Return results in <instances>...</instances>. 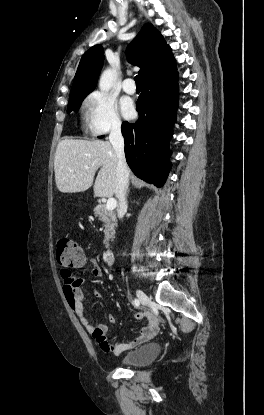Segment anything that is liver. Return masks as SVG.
Masks as SVG:
<instances>
[{"label": "liver", "instance_id": "obj_1", "mask_svg": "<svg viewBox=\"0 0 264 415\" xmlns=\"http://www.w3.org/2000/svg\"><path fill=\"white\" fill-rule=\"evenodd\" d=\"M100 167L94 183V194L97 197H112L117 170V158L112 145L108 141L82 139H64L58 143L54 171L60 192L88 190Z\"/></svg>", "mask_w": 264, "mask_h": 415}]
</instances>
